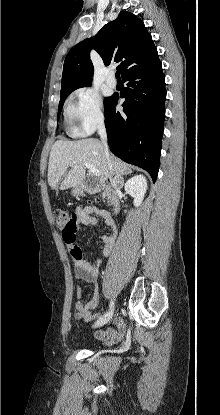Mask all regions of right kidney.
I'll use <instances>...</instances> for the list:
<instances>
[{"mask_svg": "<svg viewBox=\"0 0 220 415\" xmlns=\"http://www.w3.org/2000/svg\"><path fill=\"white\" fill-rule=\"evenodd\" d=\"M124 188L126 193L134 197V206L138 207L144 199L147 190V180L143 175H136L126 182Z\"/></svg>", "mask_w": 220, "mask_h": 415, "instance_id": "obj_1", "label": "right kidney"}]
</instances>
